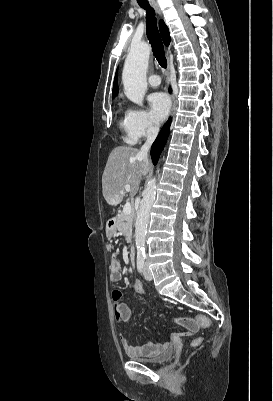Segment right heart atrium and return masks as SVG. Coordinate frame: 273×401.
Masks as SVG:
<instances>
[{
    "mask_svg": "<svg viewBox=\"0 0 273 401\" xmlns=\"http://www.w3.org/2000/svg\"><path fill=\"white\" fill-rule=\"evenodd\" d=\"M126 119L127 132L135 139L152 138L159 130V125L141 108H129Z\"/></svg>",
    "mask_w": 273,
    "mask_h": 401,
    "instance_id": "d8ad5b80",
    "label": "right heart atrium"
}]
</instances>
